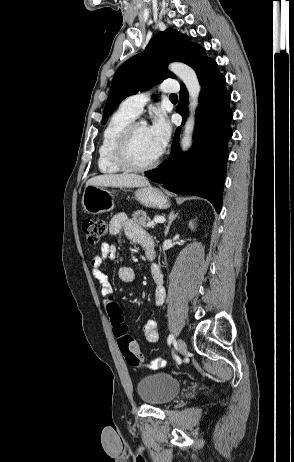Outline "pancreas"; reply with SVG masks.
<instances>
[{
    "instance_id": "cf45deb5",
    "label": "pancreas",
    "mask_w": 294,
    "mask_h": 462,
    "mask_svg": "<svg viewBox=\"0 0 294 462\" xmlns=\"http://www.w3.org/2000/svg\"><path fill=\"white\" fill-rule=\"evenodd\" d=\"M132 219L135 222H137L139 225H141L142 227H145V228H147V227L153 228L155 226V223L149 225L150 219L146 216L145 212L140 211V210H137L132 214Z\"/></svg>"
}]
</instances>
